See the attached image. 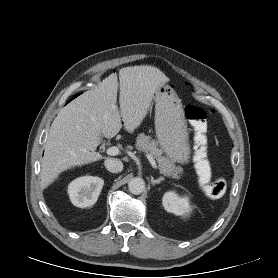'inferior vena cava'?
Instances as JSON below:
<instances>
[{"mask_svg": "<svg viewBox=\"0 0 278 278\" xmlns=\"http://www.w3.org/2000/svg\"><path fill=\"white\" fill-rule=\"evenodd\" d=\"M104 165L106 169L112 173H118L123 170V163L119 159L107 158Z\"/></svg>", "mask_w": 278, "mask_h": 278, "instance_id": "1", "label": "inferior vena cava"}]
</instances>
